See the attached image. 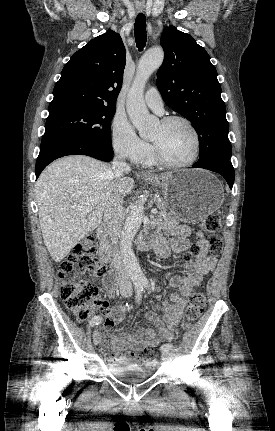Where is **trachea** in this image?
Segmentation results:
<instances>
[{
	"label": "trachea",
	"mask_w": 275,
	"mask_h": 431,
	"mask_svg": "<svg viewBox=\"0 0 275 431\" xmlns=\"http://www.w3.org/2000/svg\"><path fill=\"white\" fill-rule=\"evenodd\" d=\"M136 46L139 51H142L146 45L147 34H146V19L143 13H139L136 17L134 24Z\"/></svg>",
	"instance_id": "trachea-1"
}]
</instances>
